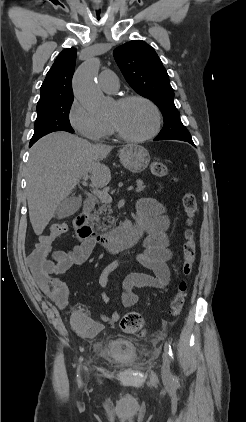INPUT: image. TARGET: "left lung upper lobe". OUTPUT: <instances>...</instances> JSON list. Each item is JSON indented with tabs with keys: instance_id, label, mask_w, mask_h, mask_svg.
<instances>
[{
	"instance_id": "obj_1",
	"label": "left lung upper lobe",
	"mask_w": 246,
	"mask_h": 422,
	"mask_svg": "<svg viewBox=\"0 0 246 422\" xmlns=\"http://www.w3.org/2000/svg\"><path fill=\"white\" fill-rule=\"evenodd\" d=\"M113 54L128 84L162 112L164 126L156 138L192 139L181 122L169 76L154 49L142 40H133L117 47Z\"/></svg>"
}]
</instances>
